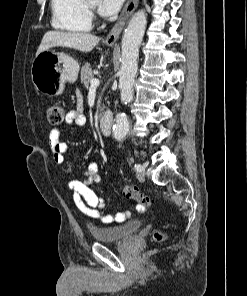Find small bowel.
<instances>
[{
  "label": "small bowel",
  "mask_w": 247,
  "mask_h": 296,
  "mask_svg": "<svg viewBox=\"0 0 247 296\" xmlns=\"http://www.w3.org/2000/svg\"><path fill=\"white\" fill-rule=\"evenodd\" d=\"M66 124L75 127H84L87 124L86 117L82 112V99L78 95L77 108L66 115ZM49 141L53 153V160L57 165H62L68 153V146L60 140L59 129H52ZM100 181L98 164L93 161L89 164L83 179H71L68 188L73 193V201L76 207L86 216L99 220L105 224L119 223L130 216L129 211L111 215L107 213V204L104 198L100 197L90 185ZM140 208V207H139Z\"/></svg>",
  "instance_id": "c3829d8e"
}]
</instances>
